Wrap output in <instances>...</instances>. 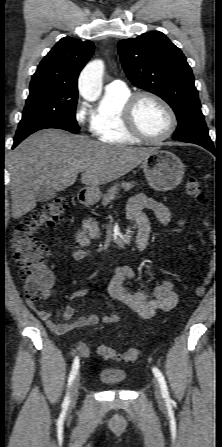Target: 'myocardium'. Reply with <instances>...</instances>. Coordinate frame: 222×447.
Segmentation results:
<instances>
[{"mask_svg": "<svg viewBox=\"0 0 222 447\" xmlns=\"http://www.w3.org/2000/svg\"><path fill=\"white\" fill-rule=\"evenodd\" d=\"M143 98H149L157 102L168 113L170 125L164 135L160 137H150L139 128L136 122L135 112L138 103ZM122 123L124 128L134 137L148 143H160L169 139L175 132L177 128V116L170 104L158 94L151 91H139L131 94L124 102L122 107Z\"/></svg>", "mask_w": 222, "mask_h": 447, "instance_id": "myocardium-1", "label": "myocardium"}]
</instances>
